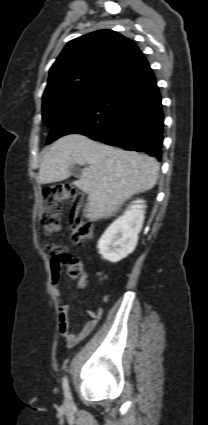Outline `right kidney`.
I'll list each match as a JSON object with an SVG mask.
<instances>
[{"label": "right kidney", "instance_id": "1", "mask_svg": "<svg viewBox=\"0 0 208 425\" xmlns=\"http://www.w3.org/2000/svg\"><path fill=\"white\" fill-rule=\"evenodd\" d=\"M144 203L140 199L133 201L124 214L106 229L98 241V249L104 259L116 263L134 251L144 221Z\"/></svg>", "mask_w": 208, "mask_h": 425}]
</instances>
